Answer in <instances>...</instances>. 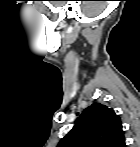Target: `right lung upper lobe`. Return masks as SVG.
<instances>
[{"label": "right lung upper lobe", "instance_id": "obj_1", "mask_svg": "<svg viewBox=\"0 0 140 147\" xmlns=\"http://www.w3.org/2000/svg\"><path fill=\"white\" fill-rule=\"evenodd\" d=\"M58 147H125L121 120L100 103L87 107Z\"/></svg>", "mask_w": 140, "mask_h": 147}]
</instances>
